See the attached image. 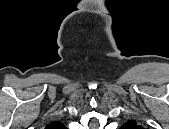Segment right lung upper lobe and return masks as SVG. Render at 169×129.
<instances>
[{
  "label": "right lung upper lobe",
  "mask_w": 169,
  "mask_h": 129,
  "mask_svg": "<svg viewBox=\"0 0 169 129\" xmlns=\"http://www.w3.org/2000/svg\"><path fill=\"white\" fill-rule=\"evenodd\" d=\"M64 128L65 126L62 123L57 122V121L52 122L49 125H47V129H64Z\"/></svg>",
  "instance_id": "obj_1"
}]
</instances>
